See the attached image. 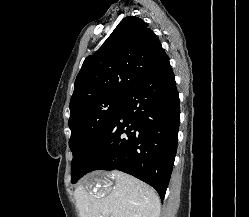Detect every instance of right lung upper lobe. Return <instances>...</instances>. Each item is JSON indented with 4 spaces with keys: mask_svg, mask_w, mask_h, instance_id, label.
I'll use <instances>...</instances> for the list:
<instances>
[{
    "mask_svg": "<svg viewBox=\"0 0 249 217\" xmlns=\"http://www.w3.org/2000/svg\"><path fill=\"white\" fill-rule=\"evenodd\" d=\"M165 54L142 19L125 17L95 54L85 59L74 83L70 111L98 97L126 96Z\"/></svg>",
    "mask_w": 249,
    "mask_h": 217,
    "instance_id": "1",
    "label": "right lung upper lobe"
}]
</instances>
